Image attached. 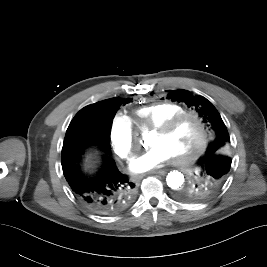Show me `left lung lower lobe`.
<instances>
[{
    "mask_svg": "<svg viewBox=\"0 0 267 267\" xmlns=\"http://www.w3.org/2000/svg\"><path fill=\"white\" fill-rule=\"evenodd\" d=\"M232 168L230 157L224 153H207L194 159L190 172L195 178L194 185L180 190L177 198L184 202H198L219 190L225 183Z\"/></svg>",
    "mask_w": 267,
    "mask_h": 267,
    "instance_id": "obj_1",
    "label": "left lung lower lobe"
}]
</instances>
